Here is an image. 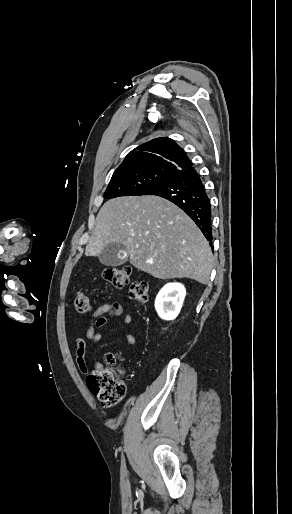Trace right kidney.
Instances as JSON below:
<instances>
[{
	"label": "right kidney",
	"mask_w": 292,
	"mask_h": 514,
	"mask_svg": "<svg viewBox=\"0 0 292 514\" xmlns=\"http://www.w3.org/2000/svg\"><path fill=\"white\" fill-rule=\"evenodd\" d=\"M186 290L183 284H165L156 300L155 310L162 320H175L185 300Z\"/></svg>",
	"instance_id": "right-kidney-1"
}]
</instances>
